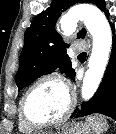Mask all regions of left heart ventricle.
Returning <instances> with one entry per match:
<instances>
[{
    "label": "left heart ventricle",
    "mask_w": 116,
    "mask_h": 134,
    "mask_svg": "<svg viewBox=\"0 0 116 134\" xmlns=\"http://www.w3.org/2000/svg\"><path fill=\"white\" fill-rule=\"evenodd\" d=\"M68 106L66 89L54 81L36 86L26 99L27 115L35 121H47L61 116Z\"/></svg>",
    "instance_id": "obj_1"
}]
</instances>
